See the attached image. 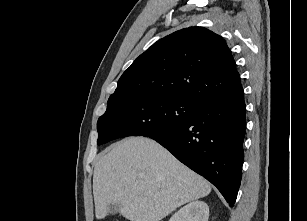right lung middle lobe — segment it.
<instances>
[{
	"label": "right lung middle lobe",
	"mask_w": 307,
	"mask_h": 221,
	"mask_svg": "<svg viewBox=\"0 0 307 221\" xmlns=\"http://www.w3.org/2000/svg\"><path fill=\"white\" fill-rule=\"evenodd\" d=\"M199 104L162 95H140L108 103L98 119L97 144L126 136H153L187 122Z\"/></svg>",
	"instance_id": "1"
}]
</instances>
